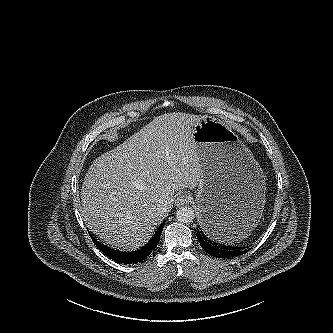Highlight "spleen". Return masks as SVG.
Wrapping results in <instances>:
<instances>
[{"label": "spleen", "instance_id": "spleen-1", "mask_svg": "<svg viewBox=\"0 0 333 333\" xmlns=\"http://www.w3.org/2000/svg\"><path fill=\"white\" fill-rule=\"evenodd\" d=\"M251 232V229L248 227H239L237 229H232L230 232L222 238V240L219 241H240L248 236V234Z\"/></svg>", "mask_w": 333, "mask_h": 333}]
</instances>
